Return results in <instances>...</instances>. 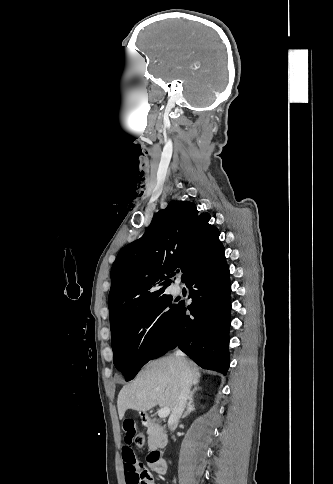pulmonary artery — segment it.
I'll return each instance as SVG.
<instances>
[{
    "mask_svg": "<svg viewBox=\"0 0 333 484\" xmlns=\"http://www.w3.org/2000/svg\"><path fill=\"white\" fill-rule=\"evenodd\" d=\"M182 291L181 286L179 284H175L172 288V292L176 295L180 294Z\"/></svg>",
    "mask_w": 333,
    "mask_h": 484,
    "instance_id": "obj_1",
    "label": "pulmonary artery"
}]
</instances>
